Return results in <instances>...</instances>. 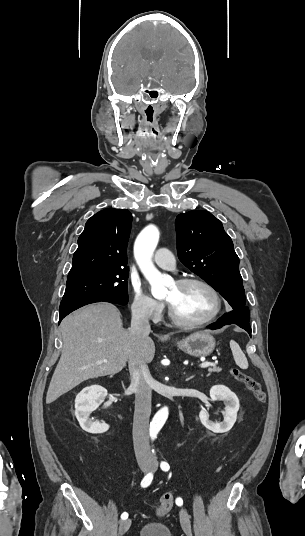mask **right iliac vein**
Here are the masks:
<instances>
[{"mask_svg":"<svg viewBox=\"0 0 305 536\" xmlns=\"http://www.w3.org/2000/svg\"><path fill=\"white\" fill-rule=\"evenodd\" d=\"M145 470V468H143ZM131 525V520L130 519H126V520H122L120 522V528H119V533L120 535H124L127 530L129 529Z\"/></svg>","mask_w":305,"mask_h":536,"instance_id":"63e3f726","label":"right iliac vein"}]
</instances>
